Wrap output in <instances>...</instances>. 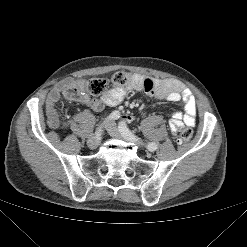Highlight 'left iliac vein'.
Instances as JSON below:
<instances>
[{
    "mask_svg": "<svg viewBox=\"0 0 247 247\" xmlns=\"http://www.w3.org/2000/svg\"><path fill=\"white\" fill-rule=\"evenodd\" d=\"M107 131L108 133L112 136V137H115V138H122V139H125L127 141H130V142H133L135 144H137L138 146H142V141L135 137V136H132V137H129V136H125L124 134H122L119 129L115 126V124L113 123H109L107 126Z\"/></svg>",
    "mask_w": 247,
    "mask_h": 247,
    "instance_id": "4c4485c4",
    "label": "left iliac vein"
}]
</instances>
